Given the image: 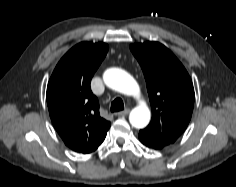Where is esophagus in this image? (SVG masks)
<instances>
[{"label": "esophagus", "instance_id": "esophagus-1", "mask_svg": "<svg viewBox=\"0 0 236 187\" xmlns=\"http://www.w3.org/2000/svg\"><path fill=\"white\" fill-rule=\"evenodd\" d=\"M130 112V109H125L117 113L118 116H125Z\"/></svg>", "mask_w": 236, "mask_h": 187}]
</instances>
